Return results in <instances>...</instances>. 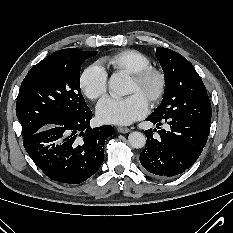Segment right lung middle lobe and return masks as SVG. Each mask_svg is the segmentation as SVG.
<instances>
[{"mask_svg": "<svg viewBox=\"0 0 233 233\" xmlns=\"http://www.w3.org/2000/svg\"><path fill=\"white\" fill-rule=\"evenodd\" d=\"M97 53L77 48L58 50L28 72L16 104L24 139L45 124L68 122L90 110L81 93L80 70L82 63Z\"/></svg>", "mask_w": 233, "mask_h": 233, "instance_id": "dd1d6c3e", "label": "right lung middle lobe"}]
</instances>
